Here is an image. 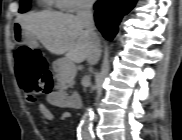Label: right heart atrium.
Wrapping results in <instances>:
<instances>
[{"label": "right heart atrium", "instance_id": "right-heart-atrium-1", "mask_svg": "<svg viewBox=\"0 0 182 140\" xmlns=\"http://www.w3.org/2000/svg\"><path fill=\"white\" fill-rule=\"evenodd\" d=\"M90 0H61L60 9L69 13H81L90 9Z\"/></svg>", "mask_w": 182, "mask_h": 140}]
</instances>
